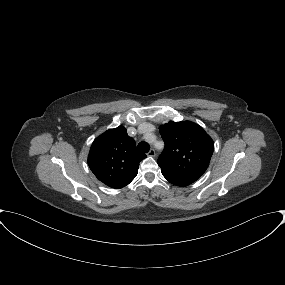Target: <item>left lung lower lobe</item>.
I'll return each instance as SVG.
<instances>
[{
	"label": "left lung lower lobe",
	"mask_w": 285,
	"mask_h": 285,
	"mask_svg": "<svg viewBox=\"0 0 285 285\" xmlns=\"http://www.w3.org/2000/svg\"><path fill=\"white\" fill-rule=\"evenodd\" d=\"M163 176L172 184L176 186H188L191 183L195 182L198 178L196 177H184V176H179V175H174V174H169L166 172L161 171Z\"/></svg>",
	"instance_id": "0a47b994"
}]
</instances>
